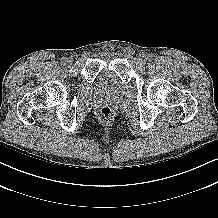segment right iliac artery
<instances>
[{
	"label": "right iliac artery",
	"mask_w": 218,
	"mask_h": 218,
	"mask_svg": "<svg viewBox=\"0 0 218 218\" xmlns=\"http://www.w3.org/2000/svg\"><path fill=\"white\" fill-rule=\"evenodd\" d=\"M61 63L65 65L66 64V58H62Z\"/></svg>",
	"instance_id": "obj_1"
}]
</instances>
